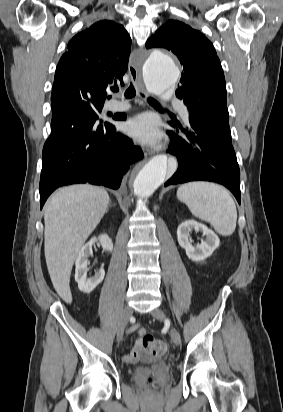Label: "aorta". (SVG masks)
I'll use <instances>...</instances> for the list:
<instances>
[{
	"instance_id": "762f6f07",
	"label": "aorta",
	"mask_w": 283,
	"mask_h": 412,
	"mask_svg": "<svg viewBox=\"0 0 283 412\" xmlns=\"http://www.w3.org/2000/svg\"><path fill=\"white\" fill-rule=\"evenodd\" d=\"M179 69L172 58L161 50H154L143 65V78L149 92L162 96L172 90L179 78ZM168 169L166 155H157L139 169L133 181L135 195L150 197L164 182Z\"/></svg>"
}]
</instances>
